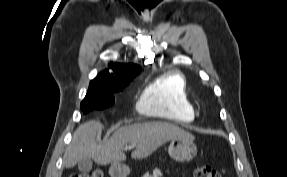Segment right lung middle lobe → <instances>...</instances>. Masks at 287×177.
I'll use <instances>...</instances> for the list:
<instances>
[{
	"label": "right lung middle lobe",
	"mask_w": 287,
	"mask_h": 177,
	"mask_svg": "<svg viewBox=\"0 0 287 177\" xmlns=\"http://www.w3.org/2000/svg\"><path fill=\"white\" fill-rule=\"evenodd\" d=\"M129 83L115 86H102L90 82V86L84 100L81 102V110L84 114L94 109H104L114 104V92L122 91Z\"/></svg>",
	"instance_id": "obj_1"
}]
</instances>
